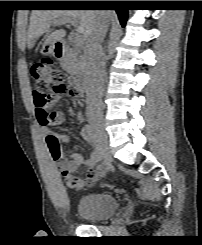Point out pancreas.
<instances>
[{
    "label": "pancreas",
    "instance_id": "cf45deb5",
    "mask_svg": "<svg viewBox=\"0 0 202 245\" xmlns=\"http://www.w3.org/2000/svg\"><path fill=\"white\" fill-rule=\"evenodd\" d=\"M61 66L69 74L78 75L84 68L80 50L76 47L69 49L65 57L61 60Z\"/></svg>",
    "mask_w": 202,
    "mask_h": 245
}]
</instances>
